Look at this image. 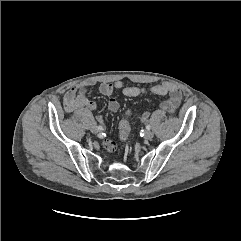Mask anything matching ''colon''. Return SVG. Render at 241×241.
Segmentation results:
<instances>
[{"label": "colon", "instance_id": "colon-1", "mask_svg": "<svg viewBox=\"0 0 241 241\" xmlns=\"http://www.w3.org/2000/svg\"><path fill=\"white\" fill-rule=\"evenodd\" d=\"M130 117H131V111H126L124 116L122 117L120 123H119V134L120 138L123 141H126L128 138V134L130 131Z\"/></svg>", "mask_w": 241, "mask_h": 241}]
</instances>
